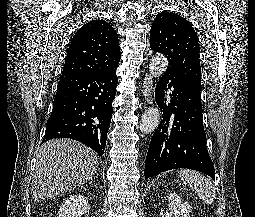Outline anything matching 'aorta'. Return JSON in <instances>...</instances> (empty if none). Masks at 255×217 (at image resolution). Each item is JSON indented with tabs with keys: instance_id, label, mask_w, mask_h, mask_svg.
I'll use <instances>...</instances> for the list:
<instances>
[{
	"instance_id": "762f6f07",
	"label": "aorta",
	"mask_w": 255,
	"mask_h": 217,
	"mask_svg": "<svg viewBox=\"0 0 255 217\" xmlns=\"http://www.w3.org/2000/svg\"><path fill=\"white\" fill-rule=\"evenodd\" d=\"M150 73L154 77H161L167 70L168 60L165 56L158 54L151 58ZM160 110L157 107L148 108L141 117L140 131L144 134L152 133L160 123Z\"/></svg>"
}]
</instances>
